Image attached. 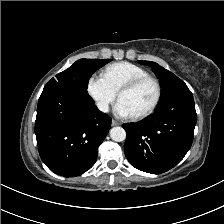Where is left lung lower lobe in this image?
<instances>
[{
	"label": "left lung lower lobe",
	"instance_id": "left-lung-lower-lobe-1",
	"mask_svg": "<svg viewBox=\"0 0 224 224\" xmlns=\"http://www.w3.org/2000/svg\"><path fill=\"white\" fill-rule=\"evenodd\" d=\"M196 111L190 92L179 94L159 105L149 118L136 124H124L127 133L125 156L137 169L160 174L177 165L190 149Z\"/></svg>",
	"mask_w": 224,
	"mask_h": 224
}]
</instances>
